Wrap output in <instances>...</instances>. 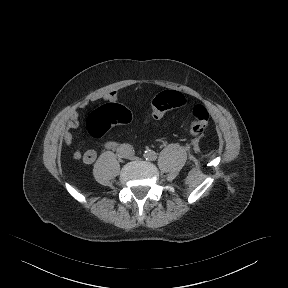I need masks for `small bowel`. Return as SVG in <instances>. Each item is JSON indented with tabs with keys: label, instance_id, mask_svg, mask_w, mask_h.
Masks as SVG:
<instances>
[{
	"label": "small bowel",
	"instance_id": "small-bowel-1",
	"mask_svg": "<svg viewBox=\"0 0 288 288\" xmlns=\"http://www.w3.org/2000/svg\"><path fill=\"white\" fill-rule=\"evenodd\" d=\"M114 144L112 142H109L106 144L107 147H112ZM81 157V152L80 150H77L74 154V158L79 159ZM97 158V153L94 150H87L84 154H83V161L86 164H92L95 162Z\"/></svg>",
	"mask_w": 288,
	"mask_h": 288
}]
</instances>
